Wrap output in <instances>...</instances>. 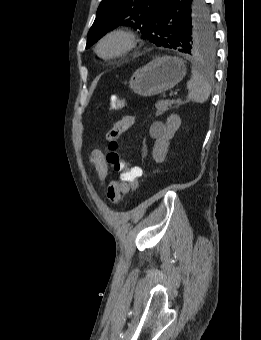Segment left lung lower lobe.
<instances>
[{
	"mask_svg": "<svg viewBox=\"0 0 261 340\" xmlns=\"http://www.w3.org/2000/svg\"><path fill=\"white\" fill-rule=\"evenodd\" d=\"M202 2L205 0H165L159 16L161 20L175 24L181 17L190 18L196 6Z\"/></svg>",
	"mask_w": 261,
	"mask_h": 340,
	"instance_id": "left-lung-lower-lobe-1",
	"label": "left lung lower lobe"
}]
</instances>
